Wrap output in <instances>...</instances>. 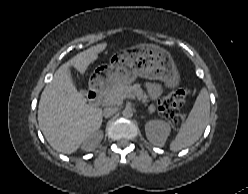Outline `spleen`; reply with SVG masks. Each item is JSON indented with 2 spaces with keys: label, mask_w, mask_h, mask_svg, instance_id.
<instances>
[{
  "label": "spleen",
  "mask_w": 248,
  "mask_h": 194,
  "mask_svg": "<svg viewBox=\"0 0 248 194\" xmlns=\"http://www.w3.org/2000/svg\"><path fill=\"white\" fill-rule=\"evenodd\" d=\"M210 116L209 93L202 88L189 113L186 121L181 125L176 138L170 143L172 151H179L193 145L201 137Z\"/></svg>",
  "instance_id": "1"
}]
</instances>
